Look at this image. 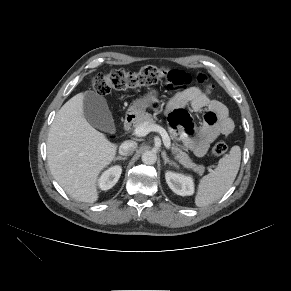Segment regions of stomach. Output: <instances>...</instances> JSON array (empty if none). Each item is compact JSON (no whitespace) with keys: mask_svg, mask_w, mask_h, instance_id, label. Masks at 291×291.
I'll use <instances>...</instances> for the list:
<instances>
[{"mask_svg":"<svg viewBox=\"0 0 291 291\" xmlns=\"http://www.w3.org/2000/svg\"><path fill=\"white\" fill-rule=\"evenodd\" d=\"M159 106L160 101L158 99V92L156 90H152L145 96L134 101L133 104L129 107L128 111L130 115L140 117L143 113H145L147 108L157 110Z\"/></svg>","mask_w":291,"mask_h":291,"instance_id":"1","label":"stomach"}]
</instances>
